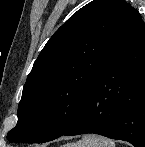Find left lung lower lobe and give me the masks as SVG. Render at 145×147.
Returning <instances> with one entry per match:
<instances>
[{"label":"left lung lower lobe","instance_id":"obj_1","mask_svg":"<svg viewBox=\"0 0 145 147\" xmlns=\"http://www.w3.org/2000/svg\"><path fill=\"white\" fill-rule=\"evenodd\" d=\"M84 133L145 147V24L131 6L78 119L61 136Z\"/></svg>","mask_w":145,"mask_h":147}]
</instances>
